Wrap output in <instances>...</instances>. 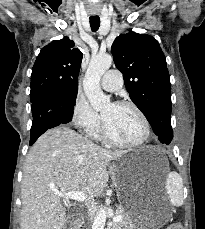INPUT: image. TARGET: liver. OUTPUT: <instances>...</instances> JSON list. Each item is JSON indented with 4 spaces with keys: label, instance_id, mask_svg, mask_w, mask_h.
<instances>
[{
    "label": "liver",
    "instance_id": "obj_1",
    "mask_svg": "<svg viewBox=\"0 0 205 229\" xmlns=\"http://www.w3.org/2000/svg\"><path fill=\"white\" fill-rule=\"evenodd\" d=\"M126 153L103 149L68 127L49 129L26 157L21 229H62L66 214L54 191H83L87 200H93L108 182L109 162Z\"/></svg>",
    "mask_w": 205,
    "mask_h": 229
}]
</instances>
